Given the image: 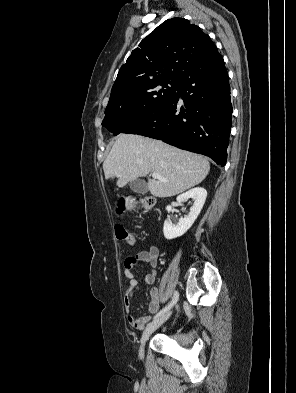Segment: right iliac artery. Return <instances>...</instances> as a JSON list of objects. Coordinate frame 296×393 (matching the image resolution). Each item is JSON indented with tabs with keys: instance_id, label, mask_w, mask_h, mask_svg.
Returning a JSON list of instances; mask_svg holds the SVG:
<instances>
[{
	"instance_id": "right-iliac-artery-1",
	"label": "right iliac artery",
	"mask_w": 296,
	"mask_h": 393,
	"mask_svg": "<svg viewBox=\"0 0 296 393\" xmlns=\"http://www.w3.org/2000/svg\"><path fill=\"white\" fill-rule=\"evenodd\" d=\"M179 298V293L177 291L174 292L173 298L171 300V302L165 306L160 312H158L155 316L154 319L162 316L163 314H165L167 311H169L178 301Z\"/></svg>"
}]
</instances>
